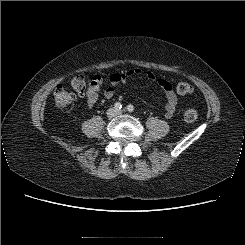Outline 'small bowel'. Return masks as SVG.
Here are the masks:
<instances>
[{"mask_svg":"<svg viewBox=\"0 0 245 245\" xmlns=\"http://www.w3.org/2000/svg\"><path fill=\"white\" fill-rule=\"evenodd\" d=\"M139 74H141V70L138 68L111 74L108 78V86L103 91L104 97L107 99L112 98L115 94V88L117 85L126 81L129 77L136 76ZM146 76L151 81H154L156 79L155 75L152 72H147ZM104 84L105 80L102 77L95 76L93 78L91 86L85 94L86 102L89 108H93L96 104L99 98L100 89ZM157 84L164 91L166 97L165 117L171 118L177 108V95L175 94L173 87L168 80L164 78H159L157 80Z\"/></svg>","mask_w":245,"mask_h":245,"instance_id":"1","label":"small bowel"}]
</instances>
